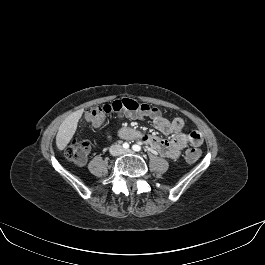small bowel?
Wrapping results in <instances>:
<instances>
[{
    "instance_id": "1",
    "label": "small bowel",
    "mask_w": 265,
    "mask_h": 265,
    "mask_svg": "<svg viewBox=\"0 0 265 265\" xmlns=\"http://www.w3.org/2000/svg\"><path fill=\"white\" fill-rule=\"evenodd\" d=\"M129 116L132 118L144 117L137 114H129ZM151 118L154 127L159 132L162 134H172L170 139L155 135L143 136V141L164 157L175 160L179 158L181 151L188 145L200 146L203 142L202 135L198 131L182 132L184 127V120L182 118L178 117L170 121L161 114ZM108 137L110 138L109 135Z\"/></svg>"
}]
</instances>
